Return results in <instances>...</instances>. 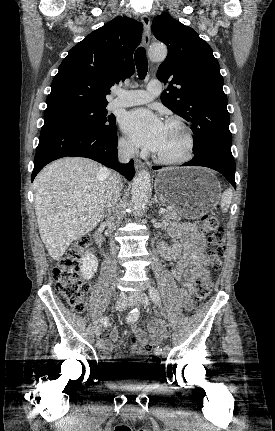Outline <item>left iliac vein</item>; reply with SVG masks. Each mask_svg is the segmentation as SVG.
<instances>
[{
  "mask_svg": "<svg viewBox=\"0 0 275 431\" xmlns=\"http://www.w3.org/2000/svg\"><path fill=\"white\" fill-rule=\"evenodd\" d=\"M130 303L131 304H140L144 307H147L149 305V298L147 294L144 292H135L130 296ZM170 352V346H165L163 349V352L161 353L163 357H166Z\"/></svg>",
  "mask_w": 275,
  "mask_h": 431,
  "instance_id": "1",
  "label": "left iliac vein"
}]
</instances>
